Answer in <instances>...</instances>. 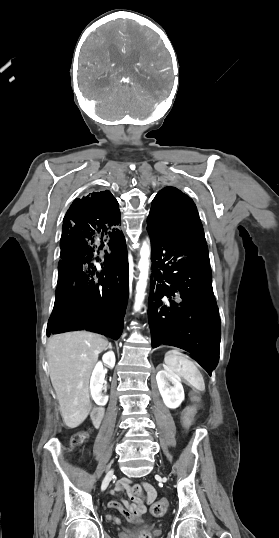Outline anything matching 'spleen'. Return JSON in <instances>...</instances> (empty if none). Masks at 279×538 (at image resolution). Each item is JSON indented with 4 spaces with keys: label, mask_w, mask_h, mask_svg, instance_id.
Wrapping results in <instances>:
<instances>
[{
    "label": "spleen",
    "mask_w": 279,
    "mask_h": 538,
    "mask_svg": "<svg viewBox=\"0 0 279 538\" xmlns=\"http://www.w3.org/2000/svg\"><path fill=\"white\" fill-rule=\"evenodd\" d=\"M164 364L166 368L172 370L177 376L191 378L188 379V384L194 388V393L203 394L205 392L203 384L204 380L202 379L199 370H197L196 366H194L193 362H191L187 356L181 354L178 348H174V350H170V352L165 354Z\"/></svg>",
    "instance_id": "obj_1"
}]
</instances>
